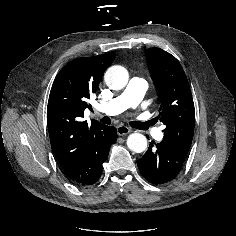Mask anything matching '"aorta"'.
<instances>
[{
    "label": "aorta",
    "instance_id": "762f6f07",
    "mask_svg": "<svg viewBox=\"0 0 236 236\" xmlns=\"http://www.w3.org/2000/svg\"><path fill=\"white\" fill-rule=\"evenodd\" d=\"M128 79V71L122 66H112L104 75L106 85L113 90L124 88L128 83ZM127 146L135 153H142L147 148V139L140 133H132L127 138Z\"/></svg>",
    "mask_w": 236,
    "mask_h": 236
}]
</instances>
